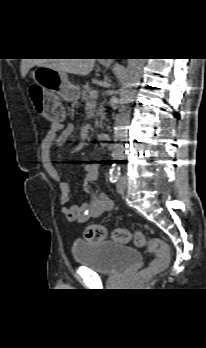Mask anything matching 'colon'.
Returning <instances> with one entry per match:
<instances>
[{
    "mask_svg": "<svg viewBox=\"0 0 206 348\" xmlns=\"http://www.w3.org/2000/svg\"><path fill=\"white\" fill-rule=\"evenodd\" d=\"M29 93L38 112L56 124L63 123L64 111L54 96L46 94L38 85H31ZM106 236V228L99 224L89 225L84 231L85 239L90 242L102 241ZM112 237L115 241L122 243L128 242L133 238L137 246L145 248L147 251L155 254V258L144 272L145 275H151L163 271L168 266L170 249L162 240L158 238L147 239L141 233H135L132 235L128 229H116L113 231Z\"/></svg>",
    "mask_w": 206,
    "mask_h": 348,
    "instance_id": "obj_1",
    "label": "colon"
}]
</instances>
